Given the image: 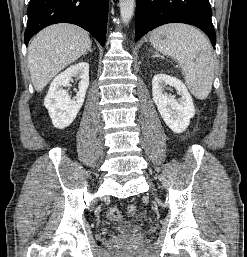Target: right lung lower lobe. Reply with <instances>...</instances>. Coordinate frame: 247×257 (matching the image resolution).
I'll list each match as a JSON object with an SVG mask.
<instances>
[{
	"label": "right lung lower lobe",
	"mask_w": 247,
	"mask_h": 257,
	"mask_svg": "<svg viewBox=\"0 0 247 257\" xmlns=\"http://www.w3.org/2000/svg\"><path fill=\"white\" fill-rule=\"evenodd\" d=\"M109 0H30L24 41L55 23H72L105 45Z\"/></svg>",
	"instance_id": "1"
}]
</instances>
